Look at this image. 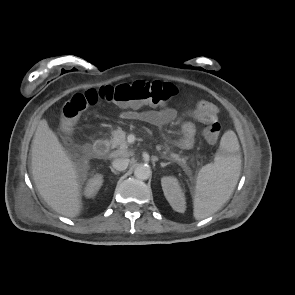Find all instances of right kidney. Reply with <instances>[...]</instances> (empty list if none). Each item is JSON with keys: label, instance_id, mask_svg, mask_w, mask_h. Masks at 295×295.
I'll return each mask as SVG.
<instances>
[{"label": "right kidney", "instance_id": "1", "mask_svg": "<svg viewBox=\"0 0 295 295\" xmlns=\"http://www.w3.org/2000/svg\"><path fill=\"white\" fill-rule=\"evenodd\" d=\"M103 183V175L96 174L91 179H89L86 188H85V195L87 197H93L96 195L100 187Z\"/></svg>", "mask_w": 295, "mask_h": 295}]
</instances>
